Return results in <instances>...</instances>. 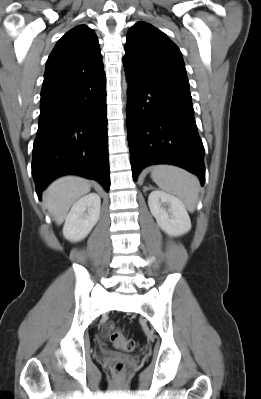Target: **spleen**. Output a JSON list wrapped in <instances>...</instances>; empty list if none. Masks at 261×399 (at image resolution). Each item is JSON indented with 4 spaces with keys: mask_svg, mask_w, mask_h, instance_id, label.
I'll use <instances>...</instances> for the list:
<instances>
[{
    "mask_svg": "<svg viewBox=\"0 0 261 399\" xmlns=\"http://www.w3.org/2000/svg\"><path fill=\"white\" fill-rule=\"evenodd\" d=\"M151 178L160 189L178 196L194 212L199 195V181L194 175L179 167L157 165L151 170Z\"/></svg>",
    "mask_w": 261,
    "mask_h": 399,
    "instance_id": "3e777b00",
    "label": "spleen"
}]
</instances>
